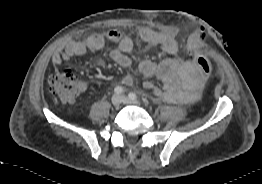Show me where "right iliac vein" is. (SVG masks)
Returning <instances> with one entry per match:
<instances>
[{
    "label": "right iliac vein",
    "mask_w": 262,
    "mask_h": 184,
    "mask_svg": "<svg viewBox=\"0 0 262 184\" xmlns=\"http://www.w3.org/2000/svg\"><path fill=\"white\" fill-rule=\"evenodd\" d=\"M122 98L119 94H114L111 98V103L113 106L117 107L121 104Z\"/></svg>",
    "instance_id": "obj_1"
}]
</instances>
